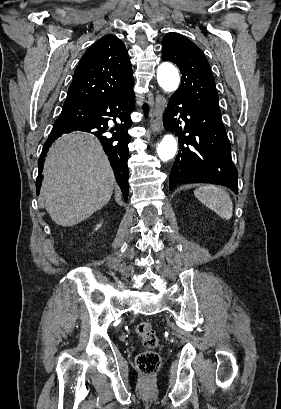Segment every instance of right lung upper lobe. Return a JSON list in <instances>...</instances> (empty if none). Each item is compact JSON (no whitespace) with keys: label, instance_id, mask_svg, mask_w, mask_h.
Instances as JSON below:
<instances>
[{"label":"right lung upper lobe","instance_id":"right-lung-upper-lobe-1","mask_svg":"<svg viewBox=\"0 0 281 409\" xmlns=\"http://www.w3.org/2000/svg\"><path fill=\"white\" fill-rule=\"evenodd\" d=\"M133 87V73L124 43L112 34L96 41L81 58L64 104H86Z\"/></svg>","mask_w":281,"mask_h":409}]
</instances>
